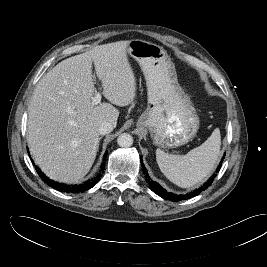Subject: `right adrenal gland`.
I'll return each mask as SVG.
<instances>
[{
    "label": "right adrenal gland",
    "mask_w": 267,
    "mask_h": 267,
    "mask_svg": "<svg viewBox=\"0 0 267 267\" xmlns=\"http://www.w3.org/2000/svg\"><path fill=\"white\" fill-rule=\"evenodd\" d=\"M101 139H102V137L99 138L98 145H97V150L99 149V143H100Z\"/></svg>",
    "instance_id": "obj_1"
}]
</instances>
